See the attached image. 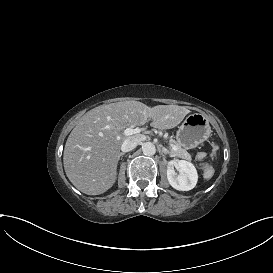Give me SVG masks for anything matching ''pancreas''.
Here are the masks:
<instances>
[{
	"label": "pancreas",
	"mask_w": 273,
	"mask_h": 273,
	"mask_svg": "<svg viewBox=\"0 0 273 273\" xmlns=\"http://www.w3.org/2000/svg\"><path fill=\"white\" fill-rule=\"evenodd\" d=\"M168 145H169V150H168L169 153L174 154L177 157L190 160V154L188 153V151L186 149H184L175 139L170 138L168 140ZM172 145L177 146L179 148V151L172 150L171 149Z\"/></svg>",
	"instance_id": "pancreas-1"
}]
</instances>
